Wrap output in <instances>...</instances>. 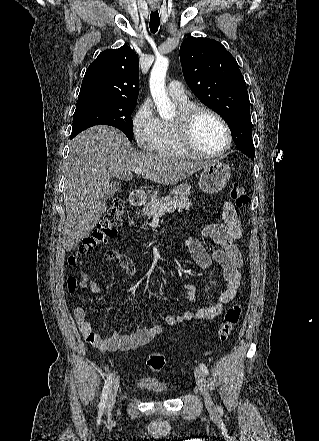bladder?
Here are the masks:
<instances>
[{"label": "bladder", "instance_id": "31cf9c89", "mask_svg": "<svg viewBox=\"0 0 319 441\" xmlns=\"http://www.w3.org/2000/svg\"><path fill=\"white\" fill-rule=\"evenodd\" d=\"M140 389L154 393V394H165L167 392V387L153 379H141L138 383Z\"/></svg>", "mask_w": 319, "mask_h": 441}]
</instances>
